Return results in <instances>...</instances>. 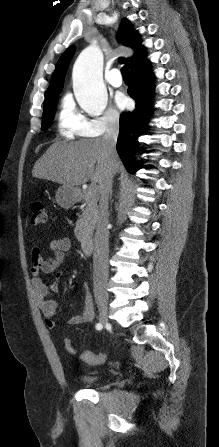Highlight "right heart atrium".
I'll return each mask as SVG.
<instances>
[{
	"instance_id": "right-heart-atrium-1",
	"label": "right heart atrium",
	"mask_w": 219,
	"mask_h": 447,
	"mask_svg": "<svg viewBox=\"0 0 219 447\" xmlns=\"http://www.w3.org/2000/svg\"><path fill=\"white\" fill-rule=\"evenodd\" d=\"M120 122V113L115 109H109L102 116L91 119L88 127L93 136H99L117 128Z\"/></svg>"
}]
</instances>
